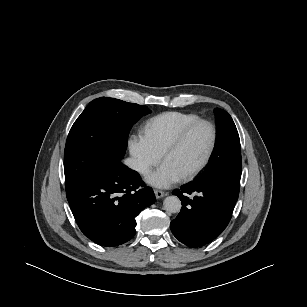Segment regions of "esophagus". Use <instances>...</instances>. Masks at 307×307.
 Returning a JSON list of instances; mask_svg holds the SVG:
<instances>
[{
  "label": "esophagus",
  "instance_id": "1",
  "mask_svg": "<svg viewBox=\"0 0 307 307\" xmlns=\"http://www.w3.org/2000/svg\"><path fill=\"white\" fill-rule=\"evenodd\" d=\"M154 194H155L157 199L162 198L163 196L166 195V193L161 191V190H154Z\"/></svg>",
  "mask_w": 307,
  "mask_h": 307
}]
</instances>
